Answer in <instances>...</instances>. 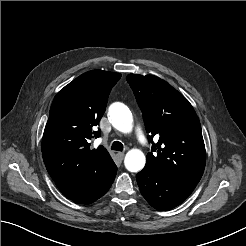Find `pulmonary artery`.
Listing matches in <instances>:
<instances>
[{"label":"pulmonary artery","instance_id":"e3ab8cb5","mask_svg":"<svg viewBox=\"0 0 246 246\" xmlns=\"http://www.w3.org/2000/svg\"><path fill=\"white\" fill-rule=\"evenodd\" d=\"M135 136H136L137 141L140 144L144 145L146 143L145 136H144L143 131L140 127H136Z\"/></svg>","mask_w":246,"mask_h":246}]
</instances>
